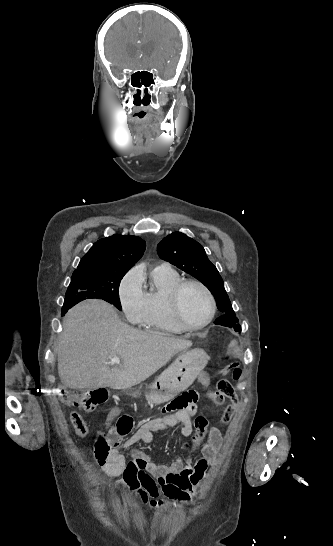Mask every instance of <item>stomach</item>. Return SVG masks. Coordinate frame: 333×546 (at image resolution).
Segmentation results:
<instances>
[{
  "instance_id": "1",
  "label": "stomach",
  "mask_w": 333,
  "mask_h": 546,
  "mask_svg": "<svg viewBox=\"0 0 333 546\" xmlns=\"http://www.w3.org/2000/svg\"><path fill=\"white\" fill-rule=\"evenodd\" d=\"M209 360L210 357L200 348L182 352L152 384L145 387L143 394L153 404L171 400L194 382L199 371L205 368ZM126 394L137 398L142 392L140 389H130Z\"/></svg>"
}]
</instances>
